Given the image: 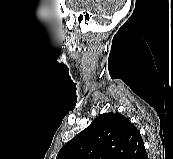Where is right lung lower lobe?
Here are the masks:
<instances>
[{"mask_svg": "<svg viewBox=\"0 0 173 159\" xmlns=\"http://www.w3.org/2000/svg\"><path fill=\"white\" fill-rule=\"evenodd\" d=\"M138 159H147L146 151L143 152V153L138 157Z\"/></svg>", "mask_w": 173, "mask_h": 159, "instance_id": "98d812e1", "label": "right lung lower lobe"}]
</instances>
